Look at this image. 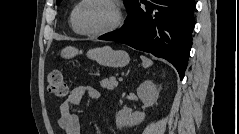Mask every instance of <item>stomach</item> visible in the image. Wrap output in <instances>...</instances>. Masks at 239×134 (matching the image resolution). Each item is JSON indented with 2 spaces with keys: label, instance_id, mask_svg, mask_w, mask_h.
<instances>
[{
  "label": "stomach",
  "instance_id": "1",
  "mask_svg": "<svg viewBox=\"0 0 239 134\" xmlns=\"http://www.w3.org/2000/svg\"><path fill=\"white\" fill-rule=\"evenodd\" d=\"M82 51L68 46L61 50V57L70 59L81 54ZM87 57L96 61L101 66L119 68L126 66L129 61V55L123 50H113L110 46L97 47L88 50Z\"/></svg>",
  "mask_w": 239,
  "mask_h": 134
}]
</instances>
